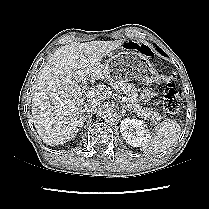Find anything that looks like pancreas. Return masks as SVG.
Returning <instances> with one entry per match:
<instances>
[{
    "instance_id": "cf45deb5",
    "label": "pancreas",
    "mask_w": 209,
    "mask_h": 209,
    "mask_svg": "<svg viewBox=\"0 0 209 209\" xmlns=\"http://www.w3.org/2000/svg\"><path fill=\"white\" fill-rule=\"evenodd\" d=\"M113 88L127 95L128 100L126 103L128 108L136 113L139 117L151 120L154 124H157V122L162 119V116L159 115L158 112L153 111L150 108H142L140 104H138V93L134 84L118 82L114 84Z\"/></svg>"
}]
</instances>
